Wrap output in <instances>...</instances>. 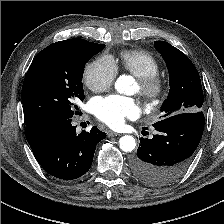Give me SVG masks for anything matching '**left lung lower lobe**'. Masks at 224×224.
Masks as SVG:
<instances>
[{
	"instance_id": "1",
	"label": "left lung lower lobe",
	"mask_w": 224,
	"mask_h": 224,
	"mask_svg": "<svg viewBox=\"0 0 224 224\" xmlns=\"http://www.w3.org/2000/svg\"><path fill=\"white\" fill-rule=\"evenodd\" d=\"M202 111L179 113L153 124L158 134L140 138L132 159L134 175L143 183L163 186L179 178L188 168L204 130Z\"/></svg>"
}]
</instances>
